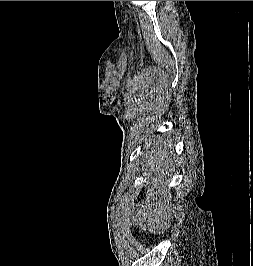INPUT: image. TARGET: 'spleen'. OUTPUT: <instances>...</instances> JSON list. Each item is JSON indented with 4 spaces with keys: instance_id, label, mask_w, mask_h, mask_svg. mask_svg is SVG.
<instances>
[{
    "instance_id": "1",
    "label": "spleen",
    "mask_w": 253,
    "mask_h": 266,
    "mask_svg": "<svg viewBox=\"0 0 253 266\" xmlns=\"http://www.w3.org/2000/svg\"><path fill=\"white\" fill-rule=\"evenodd\" d=\"M159 147L167 150L170 144L162 141ZM171 171L172 168L169 165H154L151 170L145 171L144 176L147 179H165ZM124 213L126 216H137V223L143 224L139 228L141 235H171V226H161L160 215L163 210L160 207H126Z\"/></svg>"
}]
</instances>
